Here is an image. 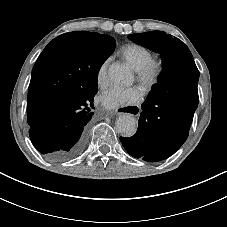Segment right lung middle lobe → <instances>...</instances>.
<instances>
[{"label": "right lung middle lobe", "mask_w": 227, "mask_h": 227, "mask_svg": "<svg viewBox=\"0 0 227 227\" xmlns=\"http://www.w3.org/2000/svg\"><path fill=\"white\" fill-rule=\"evenodd\" d=\"M115 49V40L104 35L94 42L70 40L63 47L65 57L78 64L84 74V85L80 95L96 94L100 67Z\"/></svg>", "instance_id": "obj_1"}]
</instances>
